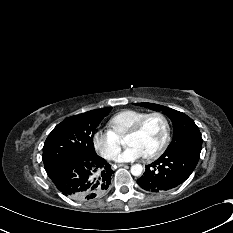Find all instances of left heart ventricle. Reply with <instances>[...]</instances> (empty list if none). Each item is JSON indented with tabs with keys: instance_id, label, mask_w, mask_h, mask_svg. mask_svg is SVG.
Masks as SVG:
<instances>
[{
	"instance_id": "b2bd125f",
	"label": "left heart ventricle",
	"mask_w": 233,
	"mask_h": 233,
	"mask_svg": "<svg viewBox=\"0 0 233 233\" xmlns=\"http://www.w3.org/2000/svg\"><path fill=\"white\" fill-rule=\"evenodd\" d=\"M165 129L163 121L159 117L149 118L142 129L133 135L124 137L126 145L135 144L147 155L152 152L164 138Z\"/></svg>"
}]
</instances>
